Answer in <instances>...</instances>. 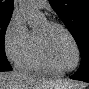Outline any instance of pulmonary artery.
I'll list each match as a JSON object with an SVG mask.
<instances>
[{"instance_id":"obj_1","label":"pulmonary artery","mask_w":89,"mask_h":89,"mask_svg":"<svg viewBox=\"0 0 89 89\" xmlns=\"http://www.w3.org/2000/svg\"><path fill=\"white\" fill-rule=\"evenodd\" d=\"M34 3L36 4V6L38 8H43L47 5V1L46 0H38V1H34Z\"/></svg>"}]
</instances>
